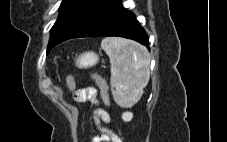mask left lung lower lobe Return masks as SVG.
Masks as SVG:
<instances>
[{
	"instance_id": "obj_1",
	"label": "left lung lower lobe",
	"mask_w": 227,
	"mask_h": 142,
	"mask_svg": "<svg viewBox=\"0 0 227 142\" xmlns=\"http://www.w3.org/2000/svg\"><path fill=\"white\" fill-rule=\"evenodd\" d=\"M101 36L124 37L149 47L145 30L136 20L134 14L122 7L121 0H111L105 8L71 38Z\"/></svg>"
}]
</instances>
